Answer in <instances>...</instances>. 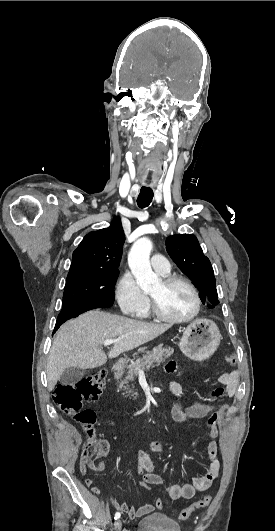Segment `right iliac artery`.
<instances>
[{"label":"right iliac artery","instance_id":"82829eb1","mask_svg":"<svg viewBox=\"0 0 275 531\" xmlns=\"http://www.w3.org/2000/svg\"><path fill=\"white\" fill-rule=\"evenodd\" d=\"M120 516H121L120 513H119V512H116V513H115V517H114V519L117 520V519L120 518Z\"/></svg>","mask_w":275,"mask_h":531}]
</instances>
